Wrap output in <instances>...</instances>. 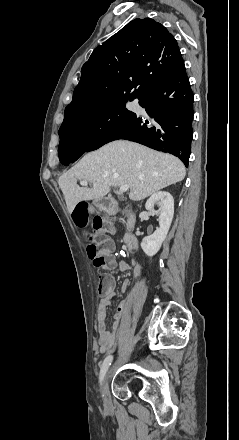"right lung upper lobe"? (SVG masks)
<instances>
[{"label": "right lung upper lobe", "mask_w": 239, "mask_h": 440, "mask_svg": "<svg viewBox=\"0 0 239 440\" xmlns=\"http://www.w3.org/2000/svg\"><path fill=\"white\" fill-rule=\"evenodd\" d=\"M182 60L177 41L153 19H134L94 49L64 121L118 97L138 98Z\"/></svg>", "instance_id": "1"}]
</instances>
